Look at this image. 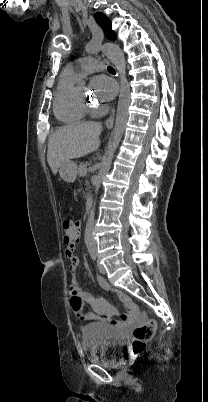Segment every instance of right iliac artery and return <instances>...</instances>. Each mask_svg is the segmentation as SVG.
Wrapping results in <instances>:
<instances>
[{
    "mask_svg": "<svg viewBox=\"0 0 208 402\" xmlns=\"http://www.w3.org/2000/svg\"><path fill=\"white\" fill-rule=\"evenodd\" d=\"M91 257H92V259H93V260H95V259H96V256H95V255H92Z\"/></svg>",
    "mask_w": 208,
    "mask_h": 402,
    "instance_id": "obj_1",
    "label": "right iliac artery"
}]
</instances>
